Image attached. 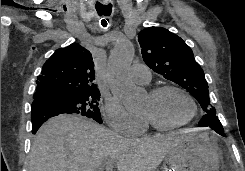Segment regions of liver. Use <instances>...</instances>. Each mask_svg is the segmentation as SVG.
Returning a JSON list of instances; mask_svg holds the SVG:
<instances>
[{
  "label": "liver",
  "mask_w": 245,
  "mask_h": 171,
  "mask_svg": "<svg viewBox=\"0 0 245 171\" xmlns=\"http://www.w3.org/2000/svg\"><path fill=\"white\" fill-rule=\"evenodd\" d=\"M186 135L159 134L126 139L75 115L48 120L30 152L29 171H98L103 162H117L118 171H155Z\"/></svg>",
  "instance_id": "1"
}]
</instances>
